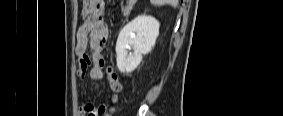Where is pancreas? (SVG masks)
Wrapping results in <instances>:
<instances>
[{"mask_svg": "<svg viewBox=\"0 0 283 116\" xmlns=\"http://www.w3.org/2000/svg\"><path fill=\"white\" fill-rule=\"evenodd\" d=\"M131 7L130 6H127L125 8H122V12H123V15L124 16H128L130 14V11H131Z\"/></svg>", "mask_w": 283, "mask_h": 116, "instance_id": "obj_1", "label": "pancreas"}]
</instances>
